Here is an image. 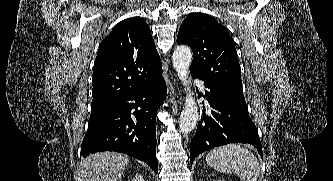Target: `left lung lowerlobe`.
Returning <instances> with one entry per match:
<instances>
[{"label": "left lung lower lobe", "instance_id": "obj_1", "mask_svg": "<svg viewBox=\"0 0 333 181\" xmlns=\"http://www.w3.org/2000/svg\"><path fill=\"white\" fill-rule=\"evenodd\" d=\"M202 80L209 88L205 97L209 102L211 112L206 114L205 108L203 109L196 134L191 141V164L200 153L229 143L253 145L263 157L258 131L250 119L246 103L234 99L221 86L205 79Z\"/></svg>", "mask_w": 333, "mask_h": 181}]
</instances>
